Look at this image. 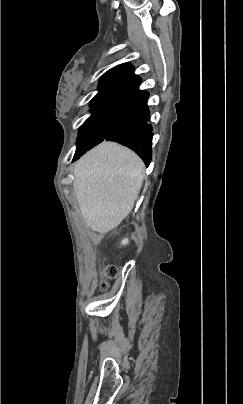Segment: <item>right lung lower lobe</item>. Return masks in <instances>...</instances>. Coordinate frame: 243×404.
<instances>
[{"mask_svg":"<svg viewBox=\"0 0 243 404\" xmlns=\"http://www.w3.org/2000/svg\"><path fill=\"white\" fill-rule=\"evenodd\" d=\"M147 97L128 104L104 139L118 142L132 149L141 157L146 166L149 165L152 158L153 136L152 127L147 124L149 120Z\"/></svg>","mask_w":243,"mask_h":404,"instance_id":"98d812e1","label":"right lung lower lobe"}]
</instances>
